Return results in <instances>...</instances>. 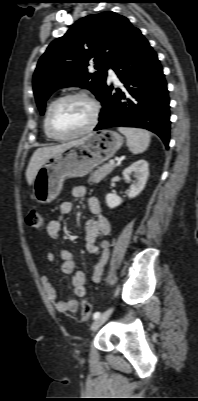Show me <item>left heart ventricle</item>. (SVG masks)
<instances>
[{"label": "left heart ventricle", "instance_id": "obj_1", "mask_svg": "<svg viewBox=\"0 0 198 401\" xmlns=\"http://www.w3.org/2000/svg\"><path fill=\"white\" fill-rule=\"evenodd\" d=\"M92 106L83 99L62 102L52 115V128L58 135H70L87 127L92 119Z\"/></svg>", "mask_w": 198, "mask_h": 401}]
</instances>
